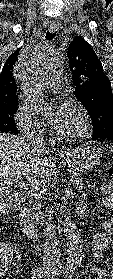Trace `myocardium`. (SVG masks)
I'll use <instances>...</instances> for the list:
<instances>
[{
	"label": "myocardium",
	"mask_w": 113,
	"mask_h": 279,
	"mask_svg": "<svg viewBox=\"0 0 113 279\" xmlns=\"http://www.w3.org/2000/svg\"><path fill=\"white\" fill-rule=\"evenodd\" d=\"M68 105L73 107L79 116V128L76 132L71 134H60L56 133V135L64 140H78L86 136L91 128L90 119L86 110L76 101H69Z\"/></svg>",
	"instance_id": "myocardium-1"
}]
</instances>
